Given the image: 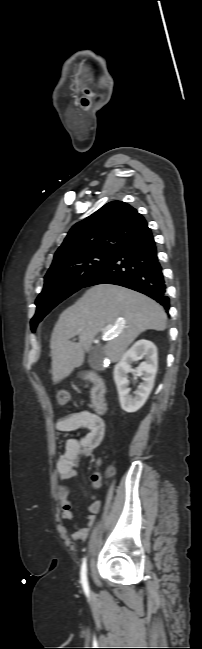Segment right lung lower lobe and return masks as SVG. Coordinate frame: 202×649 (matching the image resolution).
<instances>
[{
  "label": "right lung lower lobe",
  "mask_w": 202,
  "mask_h": 649,
  "mask_svg": "<svg viewBox=\"0 0 202 649\" xmlns=\"http://www.w3.org/2000/svg\"><path fill=\"white\" fill-rule=\"evenodd\" d=\"M104 283L141 292L169 310L165 280L151 231L117 251L84 287Z\"/></svg>",
  "instance_id": "right-lung-lower-lobe-1"
}]
</instances>
